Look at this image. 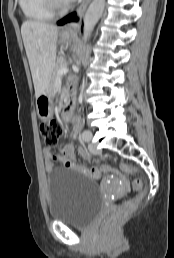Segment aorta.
Masks as SVG:
<instances>
[{"mask_svg":"<svg viewBox=\"0 0 174 258\" xmlns=\"http://www.w3.org/2000/svg\"><path fill=\"white\" fill-rule=\"evenodd\" d=\"M104 8H105V0H93L89 5L84 16L82 40L85 43L89 40L95 25L101 18Z\"/></svg>","mask_w":174,"mask_h":258,"instance_id":"aorta-1","label":"aorta"}]
</instances>
